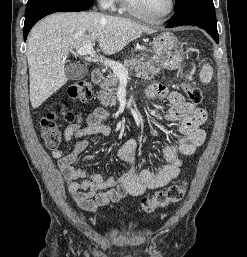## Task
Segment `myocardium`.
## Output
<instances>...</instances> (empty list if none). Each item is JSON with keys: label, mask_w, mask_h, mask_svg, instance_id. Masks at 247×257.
I'll return each mask as SVG.
<instances>
[{"label": "myocardium", "mask_w": 247, "mask_h": 257, "mask_svg": "<svg viewBox=\"0 0 247 257\" xmlns=\"http://www.w3.org/2000/svg\"><path fill=\"white\" fill-rule=\"evenodd\" d=\"M121 1V5L123 7V9L128 12L129 14H131L132 16L143 20L145 22L151 23V24H162L164 22H166L171 15L173 14L175 7H176V1L175 0H169V7L167 9V11L159 16V17H151L148 16L142 12H140L132 3L131 0H120Z\"/></svg>", "instance_id": "obj_1"}]
</instances>
